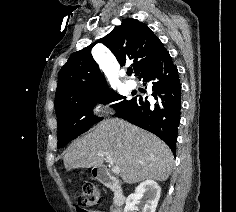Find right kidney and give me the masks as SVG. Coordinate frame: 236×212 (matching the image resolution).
<instances>
[{
    "instance_id": "obj_1",
    "label": "right kidney",
    "mask_w": 236,
    "mask_h": 212,
    "mask_svg": "<svg viewBox=\"0 0 236 212\" xmlns=\"http://www.w3.org/2000/svg\"><path fill=\"white\" fill-rule=\"evenodd\" d=\"M160 194L161 188L155 181H143L136 187L134 193L127 197L124 212H135L136 203L144 196H146V202L142 212H155Z\"/></svg>"
}]
</instances>
